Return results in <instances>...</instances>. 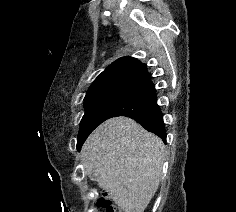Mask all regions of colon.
Masks as SVG:
<instances>
[{
  "mask_svg": "<svg viewBox=\"0 0 236 212\" xmlns=\"http://www.w3.org/2000/svg\"><path fill=\"white\" fill-rule=\"evenodd\" d=\"M98 204L106 208L107 212H121L112 202L111 197L104 193L99 199Z\"/></svg>",
  "mask_w": 236,
  "mask_h": 212,
  "instance_id": "5ec220e1",
  "label": "colon"
}]
</instances>
